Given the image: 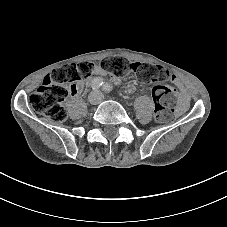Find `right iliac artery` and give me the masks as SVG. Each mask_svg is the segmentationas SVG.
Segmentation results:
<instances>
[{"mask_svg":"<svg viewBox=\"0 0 227 227\" xmlns=\"http://www.w3.org/2000/svg\"><path fill=\"white\" fill-rule=\"evenodd\" d=\"M103 85V81L101 78L94 79L91 84V88L93 90H98Z\"/></svg>","mask_w":227,"mask_h":227,"instance_id":"obj_1","label":"right iliac artery"}]
</instances>
